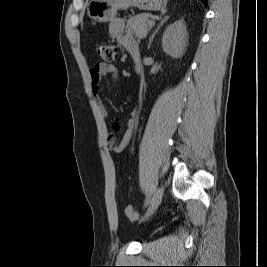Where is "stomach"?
<instances>
[{
  "label": "stomach",
  "instance_id": "stomach-1",
  "mask_svg": "<svg viewBox=\"0 0 267 267\" xmlns=\"http://www.w3.org/2000/svg\"><path fill=\"white\" fill-rule=\"evenodd\" d=\"M168 0H90L87 4L88 16L99 23L112 21L118 10L137 7L145 11L164 9Z\"/></svg>",
  "mask_w": 267,
  "mask_h": 267
}]
</instances>
